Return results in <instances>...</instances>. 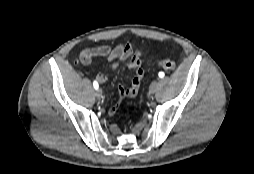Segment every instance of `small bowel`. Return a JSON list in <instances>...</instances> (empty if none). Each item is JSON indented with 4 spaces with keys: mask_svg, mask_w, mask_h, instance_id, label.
Returning <instances> with one entry per match:
<instances>
[{
    "mask_svg": "<svg viewBox=\"0 0 254 174\" xmlns=\"http://www.w3.org/2000/svg\"><path fill=\"white\" fill-rule=\"evenodd\" d=\"M101 56L107 57L108 61L112 65V69H116L119 64L126 63L130 68L134 70V75L131 79L130 85L124 87L119 86V93L121 96L134 97L138 94L144 71L142 68L144 62L143 53L136 49L132 44L122 42L115 47L110 45H102L90 49H85L80 54V61L83 64H89L94 57ZM99 83H105L107 81V74L100 72L96 76ZM117 107L111 106L108 109V114L112 115L116 112Z\"/></svg>",
    "mask_w": 254,
    "mask_h": 174,
    "instance_id": "small-bowel-1",
    "label": "small bowel"
}]
</instances>
